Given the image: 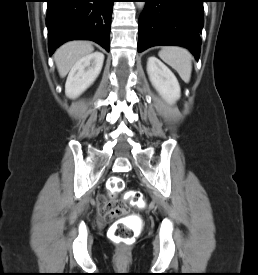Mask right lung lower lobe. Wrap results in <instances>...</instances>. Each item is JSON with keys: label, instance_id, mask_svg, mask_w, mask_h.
Returning a JSON list of instances; mask_svg holds the SVG:
<instances>
[{"label": "right lung lower lobe", "instance_id": "right-lung-lower-lobe-1", "mask_svg": "<svg viewBox=\"0 0 258 275\" xmlns=\"http://www.w3.org/2000/svg\"><path fill=\"white\" fill-rule=\"evenodd\" d=\"M114 0H47L48 48L69 40H92L109 51Z\"/></svg>", "mask_w": 258, "mask_h": 275}]
</instances>
